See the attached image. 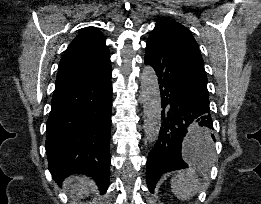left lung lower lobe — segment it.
Segmentation results:
<instances>
[{
  "label": "left lung lower lobe",
  "mask_w": 261,
  "mask_h": 204,
  "mask_svg": "<svg viewBox=\"0 0 261 204\" xmlns=\"http://www.w3.org/2000/svg\"><path fill=\"white\" fill-rule=\"evenodd\" d=\"M144 62L156 71L163 108L158 141L147 159L146 180L153 193L162 174L186 168L185 157L206 153L197 142L215 138L204 65L183 48L155 38L147 41Z\"/></svg>",
  "instance_id": "left-lung-lower-lobe-1"
}]
</instances>
